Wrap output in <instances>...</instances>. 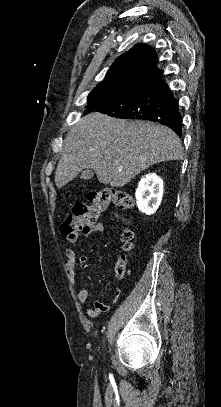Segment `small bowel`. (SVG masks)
Here are the masks:
<instances>
[{
	"instance_id": "obj_1",
	"label": "small bowel",
	"mask_w": 221,
	"mask_h": 407,
	"mask_svg": "<svg viewBox=\"0 0 221 407\" xmlns=\"http://www.w3.org/2000/svg\"><path fill=\"white\" fill-rule=\"evenodd\" d=\"M104 231L103 226L100 224L97 233H102ZM66 241L68 243H73L74 240L71 238L66 237ZM64 255L66 257V263L64 265V271L67 277L68 282L72 285H76V263H77V256L75 251L72 248H66L64 250ZM80 267L83 270L89 268V256L82 255L79 258ZM121 295V289L116 288L112 295V303L116 302ZM90 296V290L88 288H81L77 294L76 299L79 304H84ZM109 309V305L101 302L100 300H94L92 304V308L88 310L87 314L89 317L93 318L98 316L99 314H103L107 312Z\"/></svg>"
}]
</instances>
